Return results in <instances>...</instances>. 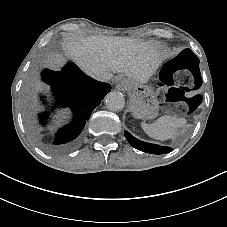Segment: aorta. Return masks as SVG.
<instances>
[{"mask_svg": "<svg viewBox=\"0 0 227 227\" xmlns=\"http://www.w3.org/2000/svg\"><path fill=\"white\" fill-rule=\"evenodd\" d=\"M105 105L111 111H120L125 105L124 96L120 92L112 91L106 95Z\"/></svg>", "mask_w": 227, "mask_h": 227, "instance_id": "762f6f07", "label": "aorta"}]
</instances>
